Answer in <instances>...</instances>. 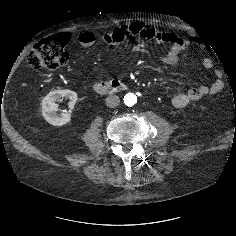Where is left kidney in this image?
Listing matches in <instances>:
<instances>
[{
  "instance_id": "obj_1",
  "label": "left kidney",
  "mask_w": 236,
  "mask_h": 236,
  "mask_svg": "<svg viewBox=\"0 0 236 236\" xmlns=\"http://www.w3.org/2000/svg\"><path fill=\"white\" fill-rule=\"evenodd\" d=\"M201 109H205V107H204V106H202V107H201Z\"/></svg>"
}]
</instances>
